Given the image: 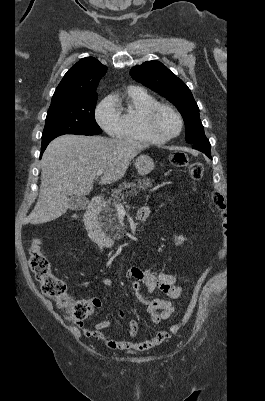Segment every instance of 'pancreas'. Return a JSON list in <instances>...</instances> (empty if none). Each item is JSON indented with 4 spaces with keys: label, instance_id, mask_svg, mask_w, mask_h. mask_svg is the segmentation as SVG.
<instances>
[{
    "label": "pancreas",
    "instance_id": "cf45deb5",
    "mask_svg": "<svg viewBox=\"0 0 265 401\" xmlns=\"http://www.w3.org/2000/svg\"><path fill=\"white\" fill-rule=\"evenodd\" d=\"M149 186H152L151 178H138L137 182H126L125 180L123 184H119L118 188L112 190V194L107 198V201H104L105 205L102 207V213L99 217L100 221H105L103 225H105L106 231H110L109 237H112V239H121L122 237V227L117 225V215L115 213L119 201H124L125 194L123 190H126V196H128V194H138L139 190H146Z\"/></svg>",
    "mask_w": 265,
    "mask_h": 401
}]
</instances>
